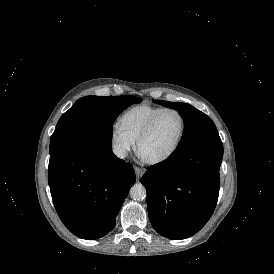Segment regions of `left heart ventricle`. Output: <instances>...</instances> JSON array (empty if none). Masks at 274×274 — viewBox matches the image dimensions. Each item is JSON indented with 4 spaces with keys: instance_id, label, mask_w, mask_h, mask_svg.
<instances>
[{
    "instance_id": "obj_1",
    "label": "left heart ventricle",
    "mask_w": 274,
    "mask_h": 274,
    "mask_svg": "<svg viewBox=\"0 0 274 274\" xmlns=\"http://www.w3.org/2000/svg\"><path fill=\"white\" fill-rule=\"evenodd\" d=\"M181 129V119L177 113L167 112L159 119L152 132L140 147L142 159H159L173 147Z\"/></svg>"
}]
</instances>
